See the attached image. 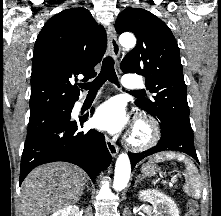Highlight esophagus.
I'll list each match as a JSON object with an SVG mask.
<instances>
[{
  "mask_svg": "<svg viewBox=\"0 0 221 216\" xmlns=\"http://www.w3.org/2000/svg\"><path fill=\"white\" fill-rule=\"evenodd\" d=\"M107 38L108 52L114 59H118L120 56V47L118 44L115 29L111 24L107 28ZM105 142L110 154L115 157L119 151L117 145L108 136H105Z\"/></svg>",
  "mask_w": 221,
  "mask_h": 216,
  "instance_id": "34e87169",
  "label": "esophagus"
}]
</instances>
